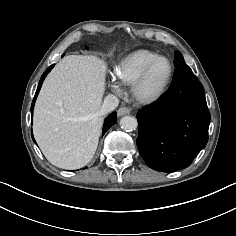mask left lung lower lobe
I'll return each mask as SVG.
<instances>
[{
	"mask_svg": "<svg viewBox=\"0 0 236 236\" xmlns=\"http://www.w3.org/2000/svg\"><path fill=\"white\" fill-rule=\"evenodd\" d=\"M210 118L203 87L191 68L176 67L166 94L137 114L142 158L162 172L188 167L207 144Z\"/></svg>",
	"mask_w": 236,
	"mask_h": 236,
	"instance_id": "1",
	"label": "left lung lower lobe"
}]
</instances>
